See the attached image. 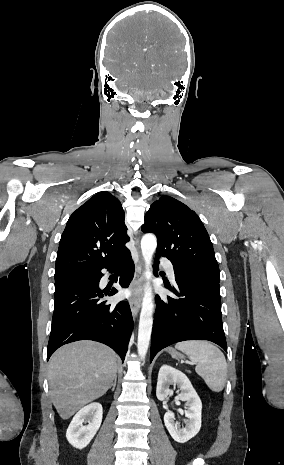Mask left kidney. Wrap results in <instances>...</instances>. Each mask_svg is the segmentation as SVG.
<instances>
[{
	"instance_id": "5707ae66",
	"label": "left kidney",
	"mask_w": 284,
	"mask_h": 465,
	"mask_svg": "<svg viewBox=\"0 0 284 465\" xmlns=\"http://www.w3.org/2000/svg\"><path fill=\"white\" fill-rule=\"evenodd\" d=\"M169 385H179L180 395L177 399L180 401H187L185 403L184 411L186 421H184L185 429H180L179 423H175V415L172 411H167L164 415V423L167 431H169L172 439L177 443H187L192 437H195L201 429V411L202 403L199 399L195 389H193L188 377L169 367V365H163L159 371L156 395L159 401H165L169 395H172L173 391H170Z\"/></svg>"
}]
</instances>
